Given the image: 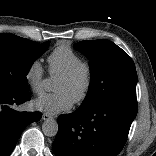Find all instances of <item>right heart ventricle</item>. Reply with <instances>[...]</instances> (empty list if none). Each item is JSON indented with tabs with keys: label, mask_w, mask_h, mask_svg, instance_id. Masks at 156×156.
I'll list each match as a JSON object with an SVG mask.
<instances>
[{
	"label": "right heart ventricle",
	"mask_w": 156,
	"mask_h": 156,
	"mask_svg": "<svg viewBox=\"0 0 156 156\" xmlns=\"http://www.w3.org/2000/svg\"><path fill=\"white\" fill-rule=\"evenodd\" d=\"M81 62V57L68 45H59L48 56L49 73L60 76Z\"/></svg>",
	"instance_id": "e07e8e85"
}]
</instances>
